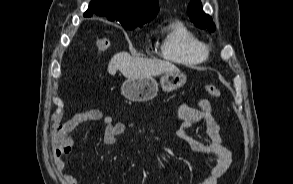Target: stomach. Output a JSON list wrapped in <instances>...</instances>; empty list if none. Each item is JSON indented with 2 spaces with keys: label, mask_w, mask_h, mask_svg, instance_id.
<instances>
[{
  "label": "stomach",
  "mask_w": 293,
  "mask_h": 184,
  "mask_svg": "<svg viewBox=\"0 0 293 184\" xmlns=\"http://www.w3.org/2000/svg\"><path fill=\"white\" fill-rule=\"evenodd\" d=\"M187 77L178 72H166L160 79V85L166 92H171L183 87ZM158 92V83L152 77L128 78L121 86L122 95L133 102H145L153 99Z\"/></svg>",
  "instance_id": "1"
}]
</instances>
